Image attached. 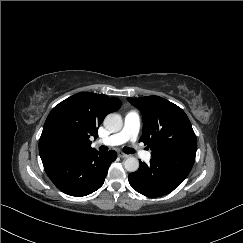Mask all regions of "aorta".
Masks as SVG:
<instances>
[{
  "label": "aorta",
  "mask_w": 243,
  "mask_h": 243,
  "mask_svg": "<svg viewBox=\"0 0 243 243\" xmlns=\"http://www.w3.org/2000/svg\"><path fill=\"white\" fill-rule=\"evenodd\" d=\"M104 127L110 132H118L123 127L122 117L117 113H110L104 119ZM124 168L128 172H135L139 168V161L135 157H128L124 161Z\"/></svg>",
  "instance_id": "obj_1"
}]
</instances>
